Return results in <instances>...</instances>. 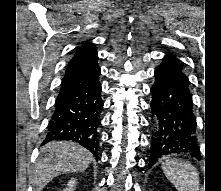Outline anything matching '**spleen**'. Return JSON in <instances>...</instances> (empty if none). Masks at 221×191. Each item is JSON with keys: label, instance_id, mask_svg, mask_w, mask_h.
<instances>
[{"label": "spleen", "instance_id": "1", "mask_svg": "<svg viewBox=\"0 0 221 191\" xmlns=\"http://www.w3.org/2000/svg\"><path fill=\"white\" fill-rule=\"evenodd\" d=\"M162 170L177 191H199V174L190 162L168 157Z\"/></svg>", "mask_w": 221, "mask_h": 191}]
</instances>
